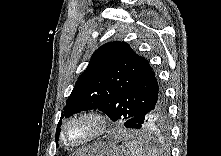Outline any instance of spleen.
Returning <instances> with one entry per match:
<instances>
[{
  "mask_svg": "<svg viewBox=\"0 0 221 156\" xmlns=\"http://www.w3.org/2000/svg\"><path fill=\"white\" fill-rule=\"evenodd\" d=\"M124 146L129 156H157L156 150L141 140L126 142Z\"/></svg>",
  "mask_w": 221,
  "mask_h": 156,
  "instance_id": "1",
  "label": "spleen"
}]
</instances>
